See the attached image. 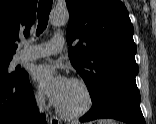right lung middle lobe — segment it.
I'll list each match as a JSON object with an SVG mask.
<instances>
[{
	"label": "right lung middle lobe",
	"mask_w": 156,
	"mask_h": 124,
	"mask_svg": "<svg viewBox=\"0 0 156 124\" xmlns=\"http://www.w3.org/2000/svg\"><path fill=\"white\" fill-rule=\"evenodd\" d=\"M10 61H11V59H1L0 60V68L4 69L6 75H8L10 77H15V78H20V77L27 75V72L25 70L15 71V72L8 74L7 69H8Z\"/></svg>",
	"instance_id": "dd1d6c3e"
}]
</instances>
